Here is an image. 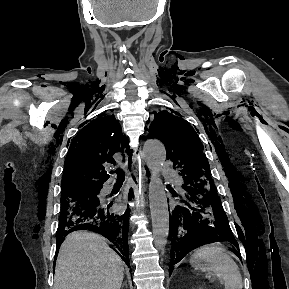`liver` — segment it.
Returning <instances> with one entry per match:
<instances>
[{
    "label": "liver",
    "mask_w": 289,
    "mask_h": 289,
    "mask_svg": "<svg viewBox=\"0 0 289 289\" xmlns=\"http://www.w3.org/2000/svg\"><path fill=\"white\" fill-rule=\"evenodd\" d=\"M121 258L95 233H70L60 247L53 289H120Z\"/></svg>",
    "instance_id": "liver-1"
}]
</instances>
